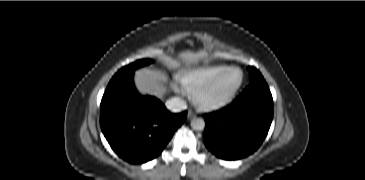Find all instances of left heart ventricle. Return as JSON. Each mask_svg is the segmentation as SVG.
<instances>
[{
    "label": "left heart ventricle",
    "mask_w": 365,
    "mask_h": 180,
    "mask_svg": "<svg viewBox=\"0 0 365 180\" xmlns=\"http://www.w3.org/2000/svg\"><path fill=\"white\" fill-rule=\"evenodd\" d=\"M240 73L237 70H231L223 74L204 94L207 101H217L227 97L238 85Z\"/></svg>",
    "instance_id": "left-heart-ventricle-1"
}]
</instances>
